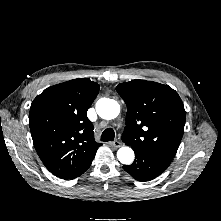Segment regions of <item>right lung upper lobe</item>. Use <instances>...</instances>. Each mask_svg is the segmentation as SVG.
<instances>
[{
	"label": "right lung upper lobe",
	"mask_w": 221,
	"mask_h": 221,
	"mask_svg": "<svg viewBox=\"0 0 221 221\" xmlns=\"http://www.w3.org/2000/svg\"><path fill=\"white\" fill-rule=\"evenodd\" d=\"M99 85L84 78L45 89L31 104L30 130L45 167L61 179H74L91 164L100 143L87 110Z\"/></svg>",
	"instance_id": "right-lung-upper-lobe-1"
}]
</instances>
